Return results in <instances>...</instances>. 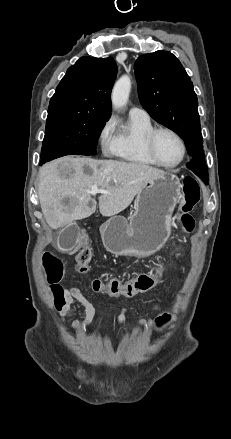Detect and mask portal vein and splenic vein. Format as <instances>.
I'll use <instances>...</instances> for the list:
<instances>
[{"label": "portal vein and splenic vein", "mask_w": 231, "mask_h": 439, "mask_svg": "<svg viewBox=\"0 0 231 439\" xmlns=\"http://www.w3.org/2000/svg\"><path fill=\"white\" fill-rule=\"evenodd\" d=\"M90 193L91 194H97V193L110 194V192H108L106 190L99 189L96 185L92 186Z\"/></svg>", "instance_id": "obj_1"}]
</instances>
